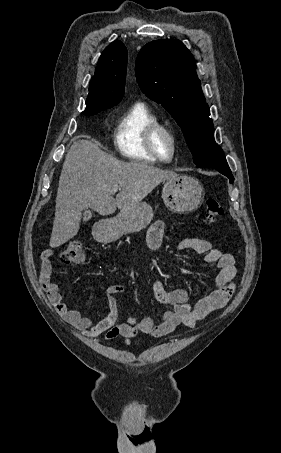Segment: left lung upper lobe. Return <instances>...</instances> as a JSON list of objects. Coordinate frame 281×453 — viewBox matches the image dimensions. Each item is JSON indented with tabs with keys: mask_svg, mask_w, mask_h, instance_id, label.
<instances>
[{
	"mask_svg": "<svg viewBox=\"0 0 281 453\" xmlns=\"http://www.w3.org/2000/svg\"><path fill=\"white\" fill-rule=\"evenodd\" d=\"M136 77L143 93L173 116L198 168H229L214 140L210 110L205 102L195 60L177 39L146 44L136 60Z\"/></svg>",
	"mask_w": 281,
	"mask_h": 453,
	"instance_id": "5c2ea615",
	"label": "left lung upper lobe"
}]
</instances>
